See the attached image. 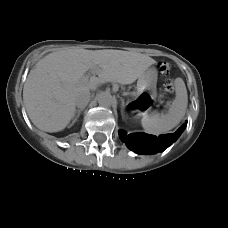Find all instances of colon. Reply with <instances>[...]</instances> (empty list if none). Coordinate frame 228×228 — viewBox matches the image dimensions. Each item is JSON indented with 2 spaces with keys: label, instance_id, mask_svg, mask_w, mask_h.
I'll return each instance as SVG.
<instances>
[{
  "label": "colon",
  "instance_id": "1",
  "mask_svg": "<svg viewBox=\"0 0 228 228\" xmlns=\"http://www.w3.org/2000/svg\"><path fill=\"white\" fill-rule=\"evenodd\" d=\"M160 71L162 72V73H168L169 71H170V69H171V65H170V63H168V62H162L161 64H160ZM173 90H174V85H173V83L172 82H169V83H167L166 85H165V91L168 93V94H171L172 92H173Z\"/></svg>",
  "mask_w": 228,
  "mask_h": 228
}]
</instances>
